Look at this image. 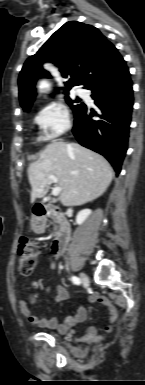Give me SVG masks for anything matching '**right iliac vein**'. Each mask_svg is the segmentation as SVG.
Here are the masks:
<instances>
[{"mask_svg": "<svg viewBox=\"0 0 145 385\" xmlns=\"http://www.w3.org/2000/svg\"><path fill=\"white\" fill-rule=\"evenodd\" d=\"M80 279H81L82 284L85 287H87L89 285L90 280H89V277L85 273H81L80 274Z\"/></svg>", "mask_w": 145, "mask_h": 385, "instance_id": "right-iliac-vein-1", "label": "right iliac vein"}]
</instances>
